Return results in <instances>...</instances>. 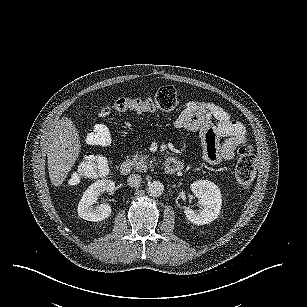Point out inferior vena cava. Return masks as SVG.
Segmentation results:
<instances>
[{"label":"inferior vena cava","mask_w":307,"mask_h":307,"mask_svg":"<svg viewBox=\"0 0 307 307\" xmlns=\"http://www.w3.org/2000/svg\"><path fill=\"white\" fill-rule=\"evenodd\" d=\"M127 183L130 187L139 188L142 184V177L139 174H131L128 177Z\"/></svg>","instance_id":"obj_1"}]
</instances>
